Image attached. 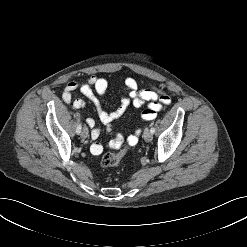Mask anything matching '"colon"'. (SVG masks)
Returning <instances> with one entry per match:
<instances>
[{"label":"colon","instance_id":"obj_1","mask_svg":"<svg viewBox=\"0 0 247 247\" xmlns=\"http://www.w3.org/2000/svg\"><path fill=\"white\" fill-rule=\"evenodd\" d=\"M131 143L135 144L134 142ZM112 147L115 149L114 151L107 152L101 157L100 164L104 168L117 166L128 150L127 145L121 146L120 141L113 143Z\"/></svg>","mask_w":247,"mask_h":247}]
</instances>
